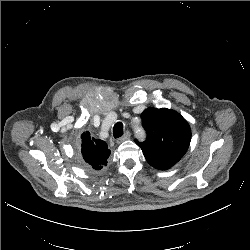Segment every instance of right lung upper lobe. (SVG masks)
Here are the masks:
<instances>
[{"instance_id":"1","label":"right lung upper lobe","mask_w":250,"mask_h":250,"mask_svg":"<svg viewBox=\"0 0 250 250\" xmlns=\"http://www.w3.org/2000/svg\"><path fill=\"white\" fill-rule=\"evenodd\" d=\"M79 153L84 164L94 170H101L105 167L110 156L107 144L91 137L88 131L81 135Z\"/></svg>"}]
</instances>
